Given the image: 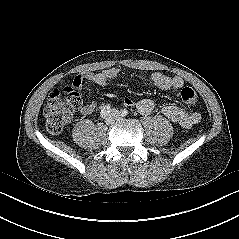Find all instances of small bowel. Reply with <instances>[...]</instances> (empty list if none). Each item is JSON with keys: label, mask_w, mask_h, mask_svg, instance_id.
Returning <instances> with one entry per match:
<instances>
[{"label": "small bowel", "mask_w": 239, "mask_h": 239, "mask_svg": "<svg viewBox=\"0 0 239 239\" xmlns=\"http://www.w3.org/2000/svg\"><path fill=\"white\" fill-rule=\"evenodd\" d=\"M119 75V70L115 67L107 68L99 72H87L83 75H78L73 79V86L81 99V88L84 83H92L98 86H107L109 82ZM150 83L161 90H176L180 91L184 85V81L179 76L170 77L161 72L153 73L149 78ZM124 103L129 106H135L136 109L144 115L151 113L157 106V103L151 99H142L133 101L130 98H125ZM95 109L94 103H88L80 106V112L83 115L91 114ZM163 114L173 123L180 125L184 129H190L197 124L201 115L199 112H187L181 107L169 104L162 108Z\"/></svg>", "instance_id": "obj_1"}]
</instances>
